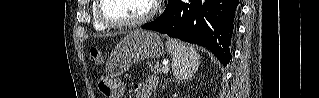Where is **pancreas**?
Returning a JSON list of instances; mask_svg holds the SVG:
<instances>
[{
    "instance_id": "1",
    "label": "pancreas",
    "mask_w": 319,
    "mask_h": 98,
    "mask_svg": "<svg viewBox=\"0 0 319 98\" xmlns=\"http://www.w3.org/2000/svg\"><path fill=\"white\" fill-rule=\"evenodd\" d=\"M147 68L149 69V71L151 72V73H153V74H163V69L162 68H160V66H159V64L158 63H156V62H149L148 64H147Z\"/></svg>"
}]
</instances>
